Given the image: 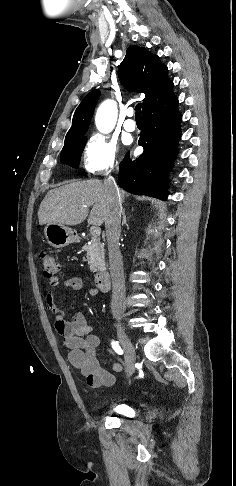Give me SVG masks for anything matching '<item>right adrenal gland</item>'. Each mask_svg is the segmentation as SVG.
Listing matches in <instances>:
<instances>
[{
    "label": "right adrenal gland",
    "instance_id": "1",
    "mask_svg": "<svg viewBox=\"0 0 236 486\" xmlns=\"http://www.w3.org/2000/svg\"><path fill=\"white\" fill-rule=\"evenodd\" d=\"M122 217H123L122 225H125L126 222H127V218H126V215H125V209H123V211H122Z\"/></svg>",
    "mask_w": 236,
    "mask_h": 486
}]
</instances>
